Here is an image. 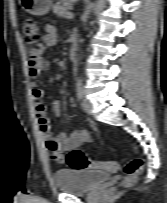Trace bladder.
I'll return each mask as SVG.
<instances>
[{
    "instance_id": "bladder-1",
    "label": "bladder",
    "mask_w": 167,
    "mask_h": 203,
    "mask_svg": "<svg viewBox=\"0 0 167 203\" xmlns=\"http://www.w3.org/2000/svg\"><path fill=\"white\" fill-rule=\"evenodd\" d=\"M54 182L58 190L79 195L96 189L102 183L111 179L108 172L91 169H59L54 175Z\"/></svg>"
}]
</instances>
